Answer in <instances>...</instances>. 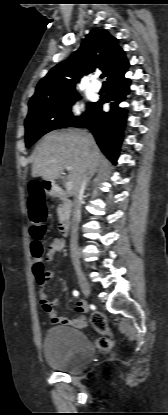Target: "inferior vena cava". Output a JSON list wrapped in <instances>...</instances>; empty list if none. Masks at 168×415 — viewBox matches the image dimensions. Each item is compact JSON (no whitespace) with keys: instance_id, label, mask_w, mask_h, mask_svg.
<instances>
[{"instance_id":"inferior-vena-cava-1","label":"inferior vena cava","mask_w":168,"mask_h":415,"mask_svg":"<svg viewBox=\"0 0 168 415\" xmlns=\"http://www.w3.org/2000/svg\"><path fill=\"white\" fill-rule=\"evenodd\" d=\"M88 175H84L80 183L75 189L73 209H72V221H71V235H70V251L72 263L75 268L80 267L78 256V226L81 217V200L84 194L85 186L88 181Z\"/></svg>"}]
</instances>
